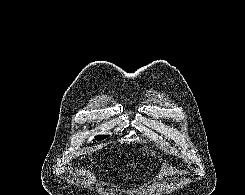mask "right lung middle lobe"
Wrapping results in <instances>:
<instances>
[{
    "instance_id": "right-lung-middle-lobe-1",
    "label": "right lung middle lobe",
    "mask_w": 245,
    "mask_h": 195,
    "mask_svg": "<svg viewBox=\"0 0 245 195\" xmlns=\"http://www.w3.org/2000/svg\"><path fill=\"white\" fill-rule=\"evenodd\" d=\"M106 137H108V136L97 137V139L100 141V140H102V139H104V138H106Z\"/></svg>"
}]
</instances>
